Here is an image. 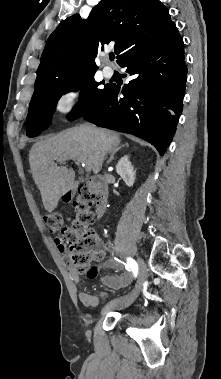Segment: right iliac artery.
<instances>
[{"label":"right iliac artery","instance_id":"obj_1","mask_svg":"<svg viewBox=\"0 0 221 379\" xmlns=\"http://www.w3.org/2000/svg\"><path fill=\"white\" fill-rule=\"evenodd\" d=\"M127 269L131 270L134 274V277H137L138 275V264L136 263V261L132 258H127Z\"/></svg>","mask_w":221,"mask_h":379}]
</instances>
